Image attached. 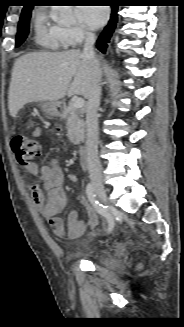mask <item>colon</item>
<instances>
[{"instance_id": "5ec220e1", "label": "colon", "mask_w": 184, "mask_h": 327, "mask_svg": "<svg viewBox=\"0 0 184 327\" xmlns=\"http://www.w3.org/2000/svg\"><path fill=\"white\" fill-rule=\"evenodd\" d=\"M11 147L17 161L23 165H29L32 160L41 153V145L38 140L27 137L24 134H16L11 140ZM89 223L92 227L98 225L99 220L95 212L87 207Z\"/></svg>"}]
</instances>
